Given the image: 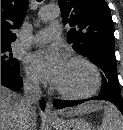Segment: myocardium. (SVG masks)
<instances>
[{
    "label": "myocardium",
    "mask_w": 123,
    "mask_h": 130,
    "mask_svg": "<svg viewBox=\"0 0 123 130\" xmlns=\"http://www.w3.org/2000/svg\"><path fill=\"white\" fill-rule=\"evenodd\" d=\"M68 62L81 63L87 66L91 70L94 77L93 85L90 89L81 93L68 92L55 87V91L57 92V94L68 100H83L94 96L99 91L102 84V77L97 66L89 59L80 55L71 56L68 59Z\"/></svg>",
    "instance_id": "1"
}]
</instances>
